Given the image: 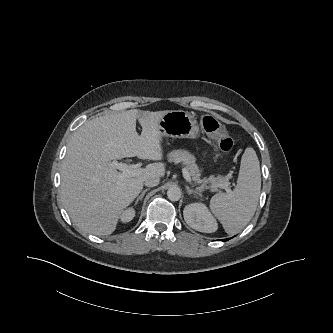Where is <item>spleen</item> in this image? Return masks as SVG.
<instances>
[{"mask_svg":"<svg viewBox=\"0 0 333 333\" xmlns=\"http://www.w3.org/2000/svg\"><path fill=\"white\" fill-rule=\"evenodd\" d=\"M261 190L260 163L253 148H246L241 158L237 185L233 191L217 193L210 209L220 220L226 233L240 232L255 214Z\"/></svg>","mask_w":333,"mask_h":333,"instance_id":"1","label":"spleen"}]
</instances>
